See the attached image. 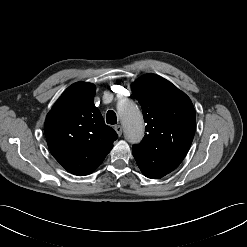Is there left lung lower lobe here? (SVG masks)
I'll list each match as a JSON object with an SVG mask.
<instances>
[{
  "mask_svg": "<svg viewBox=\"0 0 247 247\" xmlns=\"http://www.w3.org/2000/svg\"><path fill=\"white\" fill-rule=\"evenodd\" d=\"M177 167L174 165H171V164L162 163V164L157 165L155 167L140 168V169L146 177L152 178V179H159V178L165 176L166 174L170 173L171 171H173Z\"/></svg>",
  "mask_w": 247,
  "mask_h": 247,
  "instance_id": "left-lung-lower-lobe-1",
  "label": "left lung lower lobe"
}]
</instances>
